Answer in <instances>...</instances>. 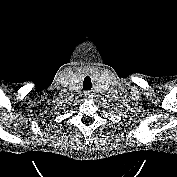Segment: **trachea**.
I'll list each match as a JSON object with an SVG mask.
<instances>
[{"label": "trachea", "mask_w": 177, "mask_h": 177, "mask_svg": "<svg viewBox=\"0 0 177 177\" xmlns=\"http://www.w3.org/2000/svg\"><path fill=\"white\" fill-rule=\"evenodd\" d=\"M86 80L91 81L90 77H89V76H86V77L84 78L83 87H84V85H85V81H86ZM85 87H86V89L90 90L92 86H91V84L88 83V85L85 86Z\"/></svg>", "instance_id": "obj_1"}]
</instances>
